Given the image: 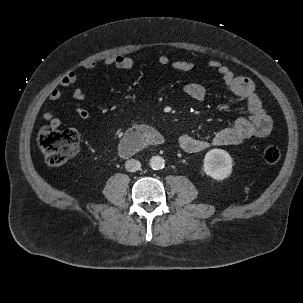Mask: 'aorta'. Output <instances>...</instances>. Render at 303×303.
<instances>
[{"label": "aorta", "instance_id": "obj_1", "mask_svg": "<svg viewBox=\"0 0 303 303\" xmlns=\"http://www.w3.org/2000/svg\"><path fill=\"white\" fill-rule=\"evenodd\" d=\"M150 167L153 170H160L165 166V160L161 156H153L149 161Z\"/></svg>", "mask_w": 303, "mask_h": 303}]
</instances>
